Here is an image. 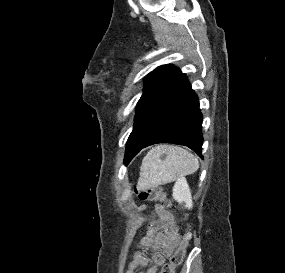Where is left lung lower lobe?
Instances as JSON below:
<instances>
[{"label": "left lung lower lobe", "mask_w": 285, "mask_h": 273, "mask_svg": "<svg viewBox=\"0 0 285 273\" xmlns=\"http://www.w3.org/2000/svg\"><path fill=\"white\" fill-rule=\"evenodd\" d=\"M202 114L199 100L185 74L135 123L125 151L124 163L142 148L157 143H174L194 150L201 158Z\"/></svg>", "instance_id": "obj_1"}]
</instances>
